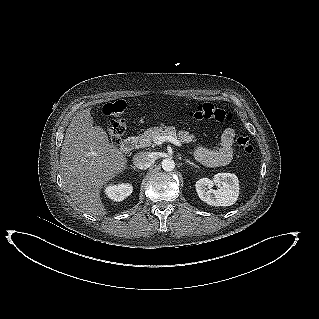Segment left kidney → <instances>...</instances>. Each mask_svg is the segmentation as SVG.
Here are the masks:
<instances>
[{
  "label": "left kidney",
  "mask_w": 319,
  "mask_h": 319,
  "mask_svg": "<svg viewBox=\"0 0 319 319\" xmlns=\"http://www.w3.org/2000/svg\"><path fill=\"white\" fill-rule=\"evenodd\" d=\"M214 185L220 188L213 190ZM195 186L199 198L212 206H231L239 196V180L231 173H217L213 180L201 178Z\"/></svg>",
  "instance_id": "left-kidney-1"
}]
</instances>
